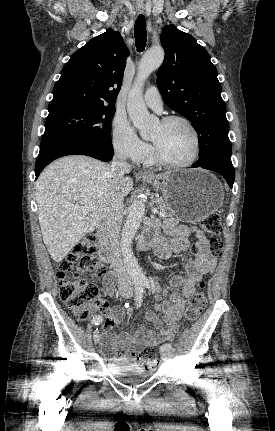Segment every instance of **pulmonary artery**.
I'll return each instance as SVG.
<instances>
[{
    "label": "pulmonary artery",
    "instance_id": "pulmonary-artery-1",
    "mask_svg": "<svg viewBox=\"0 0 275 431\" xmlns=\"http://www.w3.org/2000/svg\"><path fill=\"white\" fill-rule=\"evenodd\" d=\"M145 103L155 111L160 112L163 102L158 89L155 86L150 87L144 94Z\"/></svg>",
    "mask_w": 275,
    "mask_h": 431
}]
</instances>
